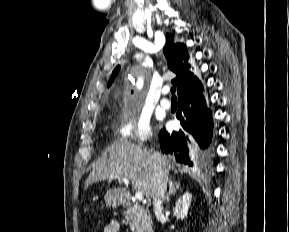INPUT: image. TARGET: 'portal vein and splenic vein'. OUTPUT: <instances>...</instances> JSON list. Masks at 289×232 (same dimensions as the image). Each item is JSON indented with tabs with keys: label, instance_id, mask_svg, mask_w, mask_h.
<instances>
[{
	"label": "portal vein and splenic vein",
	"instance_id": "portal-vein-and-splenic-vein-1",
	"mask_svg": "<svg viewBox=\"0 0 289 232\" xmlns=\"http://www.w3.org/2000/svg\"><path fill=\"white\" fill-rule=\"evenodd\" d=\"M112 179H113V177H111V178L109 179V181H111ZM122 182H123L124 184H126V185H128V184L130 183L127 178H123V179H122ZM135 198H136L137 200H139V201H142V200H143V192H142V191H137V192L135 193Z\"/></svg>",
	"mask_w": 289,
	"mask_h": 232
}]
</instances>
